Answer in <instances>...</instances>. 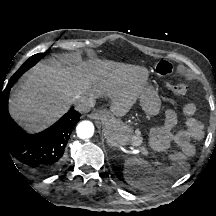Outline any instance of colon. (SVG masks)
<instances>
[{
  "label": "colon",
  "instance_id": "colon-1",
  "mask_svg": "<svg viewBox=\"0 0 216 216\" xmlns=\"http://www.w3.org/2000/svg\"><path fill=\"white\" fill-rule=\"evenodd\" d=\"M154 70L159 76L169 78L174 74L175 67L167 61H156L154 63ZM172 90L177 97L185 98L188 87L183 81H177L172 84Z\"/></svg>",
  "mask_w": 216,
  "mask_h": 216
}]
</instances>
